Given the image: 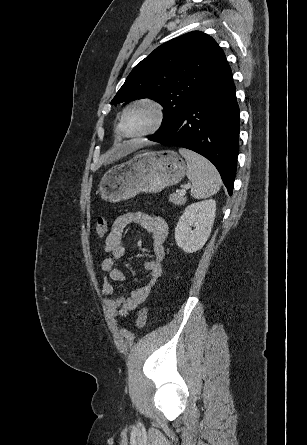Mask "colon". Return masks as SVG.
Listing matches in <instances>:
<instances>
[{
    "instance_id": "obj_1",
    "label": "colon",
    "mask_w": 307,
    "mask_h": 445,
    "mask_svg": "<svg viewBox=\"0 0 307 445\" xmlns=\"http://www.w3.org/2000/svg\"><path fill=\"white\" fill-rule=\"evenodd\" d=\"M108 229V220L105 216H99L96 221V233L98 237L102 238L105 236ZM148 315L147 307L142 308L137 317V328L141 329L144 327Z\"/></svg>"
}]
</instances>
